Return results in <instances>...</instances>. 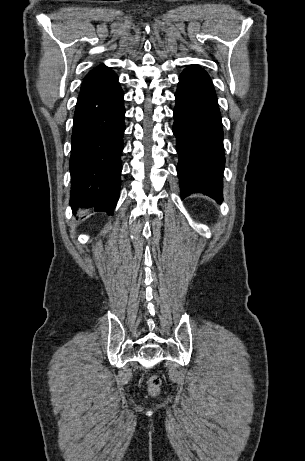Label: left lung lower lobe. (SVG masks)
Wrapping results in <instances>:
<instances>
[{"instance_id":"1","label":"left lung lower lobe","mask_w":305,"mask_h":461,"mask_svg":"<svg viewBox=\"0 0 305 461\" xmlns=\"http://www.w3.org/2000/svg\"><path fill=\"white\" fill-rule=\"evenodd\" d=\"M173 133L177 139L181 196L206 194L222 200L223 128L217 96L209 75L197 65L179 77Z\"/></svg>"}]
</instances>
